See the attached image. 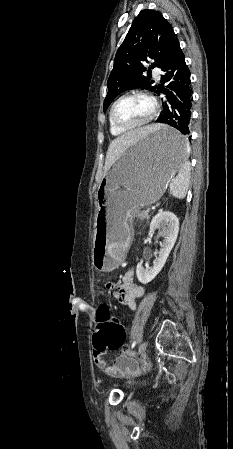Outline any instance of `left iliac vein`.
I'll list each match as a JSON object with an SVG mask.
<instances>
[{"label": "left iliac vein", "mask_w": 233, "mask_h": 449, "mask_svg": "<svg viewBox=\"0 0 233 449\" xmlns=\"http://www.w3.org/2000/svg\"><path fill=\"white\" fill-rule=\"evenodd\" d=\"M147 345H148L147 341H144V342L141 344V346H140V348H139V350H138V355H142V354L145 352V350H146V348H147Z\"/></svg>", "instance_id": "obj_1"}]
</instances>
